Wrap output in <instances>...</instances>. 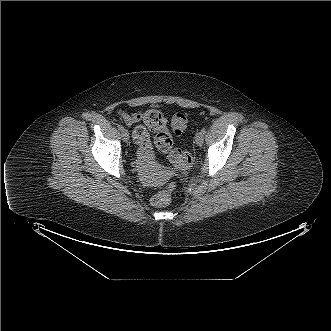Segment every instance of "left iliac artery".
<instances>
[{
    "label": "left iliac artery",
    "mask_w": 331,
    "mask_h": 331,
    "mask_svg": "<svg viewBox=\"0 0 331 331\" xmlns=\"http://www.w3.org/2000/svg\"><path fill=\"white\" fill-rule=\"evenodd\" d=\"M201 133L204 135L206 133V129L205 128H202L201 129Z\"/></svg>",
    "instance_id": "44dca946"
}]
</instances>
